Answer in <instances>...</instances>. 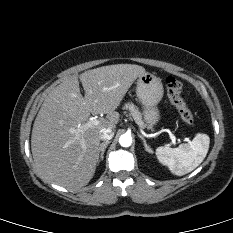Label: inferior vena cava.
Segmentation results:
<instances>
[{"mask_svg": "<svg viewBox=\"0 0 233 233\" xmlns=\"http://www.w3.org/2000/svg\"><path fill=\"white\" fill-rule=\"evenodd\" d=\"M114 136V132L111 128H103L100 131V139L104 141H108L112 139Z\"/></svg>", "mask_w": 233, "mask_h": 233, "instance_id": "602c4592", "label": "inferior vena cava"}]
</instances>
